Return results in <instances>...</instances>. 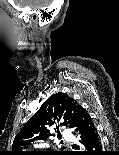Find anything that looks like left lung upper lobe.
Here are the masks:
<instances>
[{"instance_id": "left-lung-upper-lobe-1", "label": "left lung upper lobe", "mask_w": 119, "mask_h": 155, "mask_svg": "<svg viewBox=\"0 0 119 155\" xmlns=\"http://www.w3.org/2000/svg\"><path fill=\"white\" fill-rule=\"evenodd\" d=\"M77 107L78 104L62 92L51 95L16 135L13 141L12 155H70L67 151L25 154L21 149L47 139L50 135L48 127L53 126L56 121H62L61 125L68 128H74ZM56 128L58 131V126Z\"/></svg>"}]
</instances>
